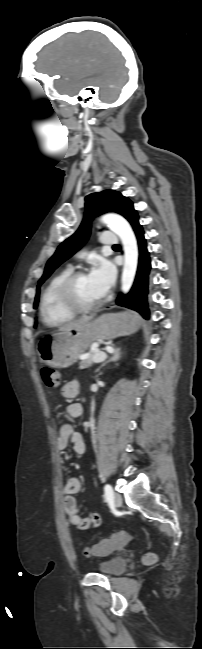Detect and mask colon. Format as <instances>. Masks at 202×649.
Segmentation results:
<instances>
[{
	"instance_id": "1",
	"label": "colon",
	"mask_w": 202,
	"mask_h": 649,
	"mask_svg": "<svg viewBox=\"0 0 202 649\" xmlns=\"http://www.w3.org/2000/svg\"><path fill=\"white\" fill-rule=\"evenodd\" d=\"M41 378L44 385L48 388H57L60 385V373L58 370L51 367H43L40 370ZM132 540V535L129 532L121 531L110 538L99 541L97 544L87 547L84 550L86 556H99L106 555L114 550L124 548ZM157 560L155 554L149 553L144 556V561L147 564H153Z\"/></svg>"
}]
</instances>
